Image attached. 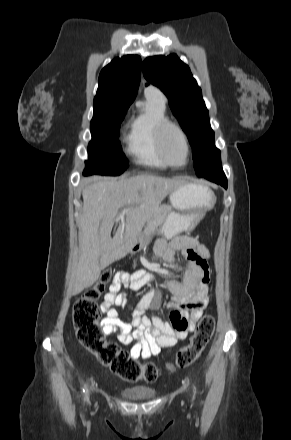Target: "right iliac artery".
Masks as SVG:
<instances>
[{
	"instance_id": "1",
	"label": "right iliac artery",
	"mask_w": 291,
	"mask_h": 440,
	"mask_svg": "<svg viewBox=\"0 0 291 440\" xmlns=\"http://www.w3.org/2000/svg\"><path fill=\"white\" fill-rule=\"evenodd\" d=\"M84 391H86V394H87V387H85V390Z\"/></svg>"
}]
</instances>
